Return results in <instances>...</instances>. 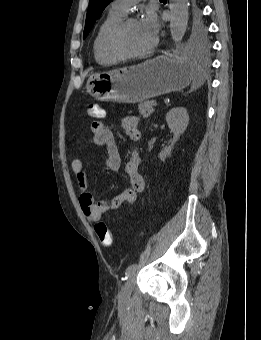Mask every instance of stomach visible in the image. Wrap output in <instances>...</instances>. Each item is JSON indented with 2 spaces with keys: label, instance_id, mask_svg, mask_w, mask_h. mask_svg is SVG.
<instances>
[{
  "label": "stomach",
  "instance_id": "stomach-1",
  "mask_svg": "<svg viewBox=\"0 0 261 340\" xmlns=\"http://www.w3.org/2000/svg\"><path fill=\"white\" fill-rule=\"evenodd\" d=\"M195 72L187 60L162 55L138 65L93 74L86 88L100 101L137 103L184 89Z\"/></svg>",
  "mask_w": 261,
  "mask_h": 340
}]
</instances>
